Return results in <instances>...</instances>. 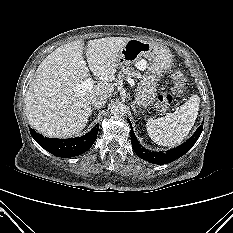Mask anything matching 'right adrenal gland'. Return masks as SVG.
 Instances as JSON below:
<instances>
[{"label": "right adrenal gland", "instance_id": "1", "mask_svg": "<svg viewBox=\"0 0 233 233\" xmlns=\"http://www.w3.org/2000/svg\"><path fill=\"white\" fill-rule=\"evenodd\" d=\"M97 109H98V108H92L90 116L92 115V112H93L94 110H97Z\"/></svg>", "mask_w": 233, "mask_h": 233}]
</instances>
